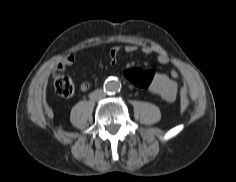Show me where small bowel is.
<instances>
[{"mask_svg":"<svg viewBox=\"0 0 236 182\" xmlns=\"http://www.w3.org/2000/svg\"><path fill=\"white\" fill-rule=\"evenodd\" d=\"M123 49L127 53L136 52L139 47L136 44H126ZM141 51L145 54H156L157 60L161 64H166L169 62V57L165 50H158L153 45L144 44L140 47ZM121 47L113 46L109 51V57L112 63H115L117 56ZM70 59H68L69 61ZM179 73L175 70L171 72V77L164 73L153 72V81L149 87V90L160 96L166 102H173L178 94L179 86L173 78H178ZM90 83L85 81L82 83V88L84 90L89 89Z\"/></svg>","mask_w":236,"mask_h":182,"instance_id":"small-bowel-1","label":"small bowel"}]
</instances>
